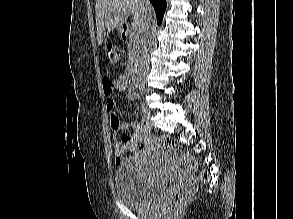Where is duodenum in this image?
<instances>
[{"label":"duodenum","instance_id":"obj_1","mask_svg":"<svg viewBox=\"0 0 293 219\" xmlns=\"http://www.w3.org/2000/svg\"><path fill=\"white\" fill-rule=\"evenodd\" d=\"M121 39L124 42H129L133 39V34L131 32V29L124 25L121 29ZM125 82L126 84L130 85L132 88L138 87V68L137 66H134L132 69H130L125 76Z\"/></svg>","mask_w":293,"mask_h":219}]
</instances>
